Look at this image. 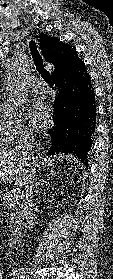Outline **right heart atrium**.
Wrapping results in <instances>:
<instances>
[{"label": "right heart atrium", "instance_id": "obj_1", "mask_svg": "<svg viewBox=\"0 0 113 279\" xmlns=\"http://www.w3.org/2000/svg\"><path fill=\"white\" fill-rule=\"evenodd\" d=\"M33 131L31 125L24 119H15L13 121V137L15 138H22L29 134H31Z\"/></svg>", "mask_w": 113, "mask_h": 279}]
</instances>
